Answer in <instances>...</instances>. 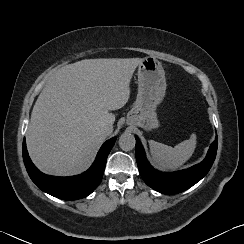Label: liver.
<instances>
[{"instance_id": "liver-1", "label": "liver", "mask_w": 244, "mask_h": 244, "mask_svg": "<svg viewBox=\"0 0 244 244\" xmlns=\"http://www.w3.org/2000/svg\"><path fill=\"white\" fill-rule=\"evenodd\" d=\"M141 58L85 59L58 69L40 93L26 143L44 173L71 176L92 164L106 139L101 125H113L110 111L130 96V81Z\"/></svg>"}]
</instances>
